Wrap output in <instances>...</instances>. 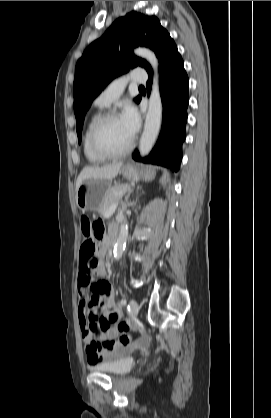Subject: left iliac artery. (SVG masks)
Masks as SVG:
<instances>
[{
	"label": "left iliac artery",
	"mask_w": 271,
	"mask_h": 418,
	"mask_svg": "<svg viewBox=\"0 0 271 418\" xmlns=\"http://www.w3.org/2000/svg\"><path fill=\"white\" fill-rule=\"evenodd\" d=\"M120 303H121V305L125 306L127 304V301H126V299H121Z\"/></svg>",
	"instance_id": "1"
}]
</instances>
